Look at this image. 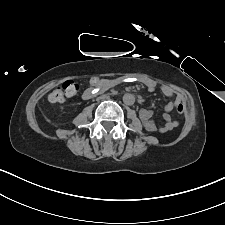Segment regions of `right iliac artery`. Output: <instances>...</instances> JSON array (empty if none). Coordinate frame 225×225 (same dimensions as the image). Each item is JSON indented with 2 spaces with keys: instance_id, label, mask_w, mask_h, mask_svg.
Masks as SVG:
<instances>
[{
  "instance_id": "1",
  "label": "right iliac artery",
  "mask_w": 225,
  "mask_h": 225,
  "mask_svg": "<svg viewBox=\"0 0 225 225\" xmlns=\"http://www.w3.org/2000/svg\"><path fill=\"white\" fill-rule=\"evenodd\" d=\"M98 91V89H95L93 93H96Z\"/></svg>"
}]
</instances>
